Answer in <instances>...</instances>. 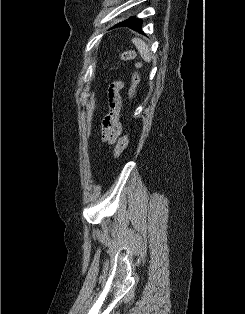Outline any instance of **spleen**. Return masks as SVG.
Returning <instances> with one entry per match:
<instances>
[{
	"label": "spleen",
	"instance_id": "3e777b00",
	"mask_svg": "<svg viewBox=\"0 0 245 314\" xmlns=\"http://www.w3.org/2000/svg\"><path fill=\"white\" fill-rule=\"evenodd\" d=\"M133 44L135 45L136 49L139 51L141 57L146 62H150L152 59V54L149 50L148 45L139 38H133L132 39Z\"/></svg>",
	"mask_w": 245,
	"mask_h": 314
}]
</instances>
